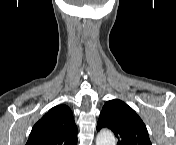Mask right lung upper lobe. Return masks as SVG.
<instances>
[{"instance_id":"obj_1","label":"right lung upper lobe","mask_w":176,"mask_h":145,"mask_svg":"<svg viewBox=\"0 0 176 145\" xmlns=\"http://www.w3.org/2000/svg\"><path fill=\"white\" fill-rule=\"evenodd\" d=\"M77 127L66 105L53 107L32 128L27 145H76Z\"/></svg>"}]
</instances>
